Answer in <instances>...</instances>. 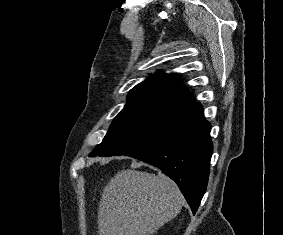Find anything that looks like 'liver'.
<instances>
[{
	"label": "liver",
	"mask_w": 283,
	"mask_h": 235,
	"mask_svg": "<svg viewBox=\"0 0 283 235\" xmlns=\"http://www.w3.org/2000/svg\"><path fill=\"white\" fill-rule=\"evenodd\" d=\"M181 207L180 190L167 176L122 170L103 190L99 235H153L175 218Z\"/></svg>",
	"instance_id": "liver-1"
}]
</instances>
